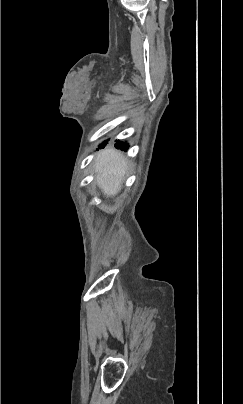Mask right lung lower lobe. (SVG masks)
<instances>
[{
	"mask_svg": "<svg viewBox=\"0 0 243 404\" xmlns=\"http://www.w3.org/2000/svg\"><path fill=\"white\" fill-rule=\"evenodd\" d=\"M115 147L118 149H121L123 151H126L128 149V144L125 142L117 141V143L115 144Z\"/></svg>",
	"mask_w": 243,
	"mask_h": 404,
	"instance_id": "98d812e1",
	"label": "right lung lower lobe"
}]
</instances>
